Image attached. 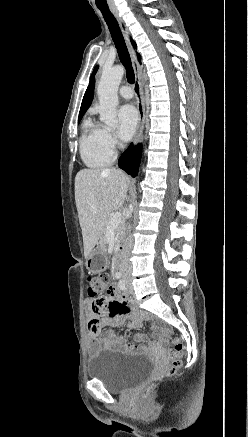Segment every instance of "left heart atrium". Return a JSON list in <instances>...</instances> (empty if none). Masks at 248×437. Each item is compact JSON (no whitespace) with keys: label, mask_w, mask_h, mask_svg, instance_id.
<instances>
[{"label":"left heart atrium","mask_w":248,"mask_h":437,"mask_svg":"<svg viewBox=\"0 0 248 437\" xmlns=\"http://www.w3.org/2000/svg\"><path fill=\"white\" fill-rule=\"evenodd\" d=\"M118 136L122 140H129L134 134L138 124V114L134 106L124 105L118 112Z\"/></svg>","instance_id":"1"}]
</instances>
